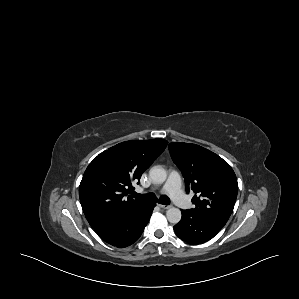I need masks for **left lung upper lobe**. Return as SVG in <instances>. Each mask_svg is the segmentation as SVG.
<instances>
[{
  "mask_svg": "<svg viewBox=\"0 0 299 299\" xmlns=\"http://www.w3.org/2000/svg\"><path fill=\"white\" fill-rule=\"evenodd\" d=\"M169 151L181 170L186 192H194L190 209L218 228L228 221L237 198L238 183L230 165L215 153L196 144L173 142Z\"/></svg>",
  "mask_w": 299,
  "mask_h": 299,
  "instance_id": "5c2ea615",
  "label": "left lung upper lobe"
}]
</instances>
